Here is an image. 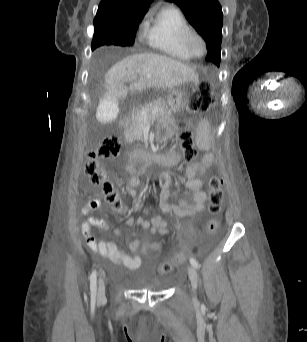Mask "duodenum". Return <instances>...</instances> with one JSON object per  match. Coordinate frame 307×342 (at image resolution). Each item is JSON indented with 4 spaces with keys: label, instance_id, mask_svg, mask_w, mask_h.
I'll return each instance as SVG.
<instances>
[{
    "label": "duodenum",
    "instance_id": "obj_1",
    "mask_svg": "<svg viewBox=\"0 0 307 342\" xmlns=\"http://www.w3.org/2000/svg\"><path fill=\"white\" fill-rule=\"evenodd\" d=\"M120 122L124 128L128 127V118L122 117ZM170 154V153H169ZM161 155L158 152L154 151H146L141 148L130 147L127 150V157L131 162H138L143 167L147 165H165V166H173L174 160L169 155Z\"/></svg>",
    "mask_w": 307,
    "mask_h": 342
}]
</instances>
